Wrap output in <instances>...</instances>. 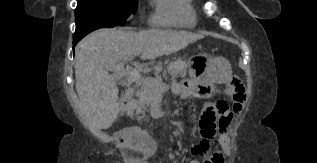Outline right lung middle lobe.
<instances>
[{"label":"right lung middle lobe","mask_w":317,"mask_h":163,"mask_svg":"<svg viewBox=\"0 0 317 163\" xmlns=\"http://www.w3.org/2000/svg\"><path fill=\"white\" fill-rule=\"evenodd\" d=\"M137 6L138 0H78L74 40L99 28L125 25Z\"/></svg>","instance_id":"dd1d6c3e"}]
</instances>
